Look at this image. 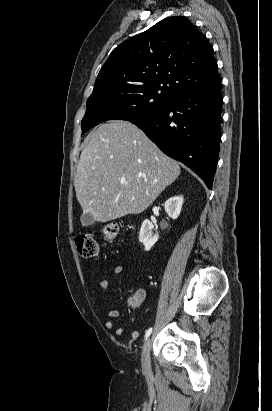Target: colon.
<instances>
[{"mask_svg":"<svg viewBox=\"0 0 272 411\" xmlns=\"http://www.w3.org/2000/svg\"><path fill=\"white\" fill-rule=\"evenodd\" d=\"M102 235L107 241H112L119 232L118 225L112 224L104 226L101 230ZM76 247L81 257L91 258L98 254V244L93 235L81 234L75 238ZM141 301L139 294L133 295L131 302L134 306H137Z\"/></svg>","mask_w":272,"mask_h":411,"instance_id":"obj_1","label":"colon"}]
</instances>
